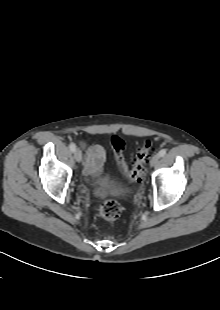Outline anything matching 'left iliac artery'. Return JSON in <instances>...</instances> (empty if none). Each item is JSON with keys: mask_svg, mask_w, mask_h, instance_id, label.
Instances as JSON below:
<instances>
[{"mask_svg": "<svg viewBox=\"0 0 220 310\" xmlns=\"http://www.w3.org/2000/svg\"><path fill=\"white\" fill-rule=\"evenodd\" d=\"M158 154H159L160 157H163V156L166 155V150H165V149H162V150L159 151Z\"/></svg>", "mask_w": 220, "mask_h": 310, "instance_id": "left-iliac-artery-1", "label": "left iliac artery"}]
</instances>
